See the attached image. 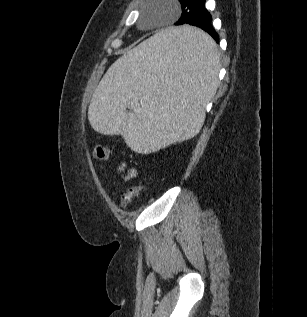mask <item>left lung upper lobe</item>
Returning a JSON list of instances; mask_svg holds the SVG:
<instances>
[{
	"label": "left lung upper lobe",
	"instance_id": "5c2ea615",
	"mask_svg": "<svg viewBox=\"0 0 307 317\" xmlns=\"http://www.w3.org/2000/svg\"><path fill=\"white\" fill-rule=\"evenodd\" d=\"M202 1L203 0H179L182 13L180 19L175 23V25L182 24L184 22L183 20L191 17Z\"/></svg>",
	"mask_w": 307,
	"mask_h": 317
}]
</instances>
